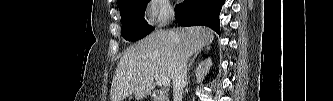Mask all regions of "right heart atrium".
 I'll use <instances>...</instances> for the list:
<instances>
[{
  "instance_id": "d8ad5b80",
  "label": "right heart atrium",
  "mask_w": 333,
  "mask_h": 101,
  "mask_svg": "<svg viewBox=\"0 0 333 101\" xmlns=\"http://www.w3.org/2000/svg\"><path fill=\"white\" fill-rule=\"evenodd\" d=\"M148 18L151 23L163 24L173 15V10L168 0H151L147 8Z\"/></svg>"
}]
</instances>
